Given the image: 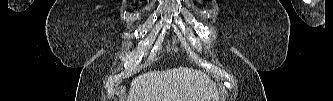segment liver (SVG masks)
<instances>
[{
	"label": "liver",
	"mask_w": 333,
	"mask_h": 101,
	"mask_svg": "<svg viewBox=\"0 0 333 101\" xmlns=\"http://www.w3.org/2000/svg\"><path fill=\"white\" fill-rule=\"evenodd\" d=\"M214 84L201 71L178 67L150 71L131 82L128 101H218Z\"/></svg>",
	"instance_id": "6515ba94"
}]
</instances>
